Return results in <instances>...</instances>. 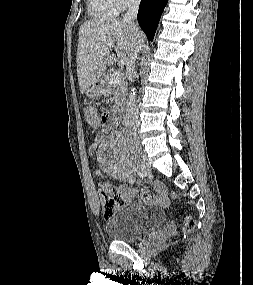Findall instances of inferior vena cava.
Segmentation results:
<instances>
[{"label":"inferior vena cava","instance_id":"1","mask_svg":"<svg viewBox=\"0 0 253 285\" xmlns=\"http://www.w3.org/2000/svg\"><path fill=\"white\" fill-rule=\"evenodd\" d=\"M140 0H129L128 3V10L126 14L123 17V20L125 22L131 23L132 25L135 24V19L137 18V12L139 8ZM140 46L137 47L133 53V55L130 57V59L127 62L126 67V74L131 82L134 81V72H135V64H136V58L138 56ZM136 102V101H135ZM130 122L132 124H136L138 122L137 120V104L135 103L132 111H131V120Z\"/></svg>","mask_w":253,"mask_h":285}]
</instances>
